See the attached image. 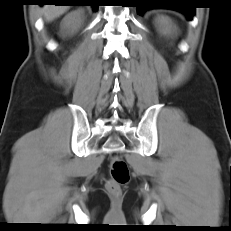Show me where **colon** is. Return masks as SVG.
I'll return each instance as SVG.
<instances>
[{"label":"colon","instance_id":"5ec220e1","mask_svg":"<svg viewBox=\"0 0 231 231\" xmlns=\"http://www.w3.org/2000/svg\"><path fill=\"white\" fill-rule=\"evenodd\" d=\"M130 172L126 162L115 156L110 161V178L106 182V189L113 195H119L121 187L128 183Z\"/></svg>","mask_w":231,"mask_h":231}]
</instances>
